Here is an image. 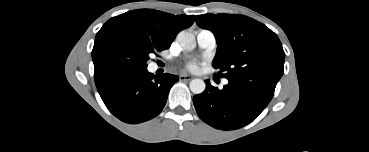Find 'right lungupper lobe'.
I'll return each instance as SVG.
<instances>
[{
    "label": "right lung upper lobe",
    "mask_w": 369,
    "mask_h": 152,
    "mask_svg": "<svg viewBox=\"0 0 369 152\" xmlns=\"http://www.w3.org/2000/svg\"><path fill=\"white\" fill-rule=\"evenodd\" d=\"M195 16L178 15L153 10L138 9L108 20L103 26H118L138 32L154 46L167 49L182 29L190 27Z\"/></svg>",
    "instance_id": "obj_1"
}]
</instances>
